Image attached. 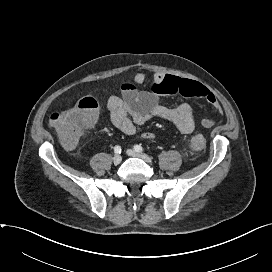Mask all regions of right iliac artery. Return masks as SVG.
<instances>
[{
    "instance_id": "obj_1",
    "label": "right iliac artery",
    "mask_w": 272,
    "mask_h": 272,
    "mask_svg": "<svg viewBox=\"0 0 272 272\" xmlns=\"http://www.w3.org/2000/svg\"><path fill=\"white\" fill-rule=\"evenodd\" d=\"M114 152L116 153V154H120L121 153V147L120 146H115L114 147Z\"/></svg>"
}]
</instances>
